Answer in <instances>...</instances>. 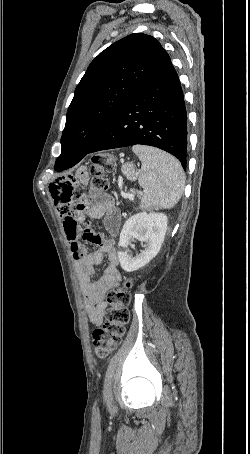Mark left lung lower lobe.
<instances>
[{"label": "left lung lower lobe", "mask_w": 250, "mask_h": 454, "mask_svg": "<svg viewBox=\"0 0 250 454\" xmlns=\"http://www.w3.org/2000/svg\"><path fill=\"white\" fill-rule=\"evenodd\" d=\"M136 144L160 148L178 158L186 170L187 114L178 75L167 64L116 113L86 153ZM60 155L55 170H66L83 157Z\"/></svg>", "instance_id": "1"}]
</instances>
